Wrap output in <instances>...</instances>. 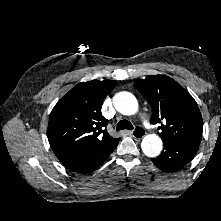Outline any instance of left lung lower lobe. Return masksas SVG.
I'll return each mask as SVG.
<instances>
[{
  "label": "left lung lower lobe",
  "instance_id": "1",
  "mask_svg": "<svg viewBox=\"0 0 221 221\" xmlns=\"http://www.w3.org/2000/svg\"><path fill=\"white\" fill-rule=\"evenodd\" d=\"M201 139H191L179 143L164 142L162 153L151 159L164 171H175L188 164L196 155Z\"/></svg>",
  "mask_w": 221,
  "mask_h": 221
}]
</instances>
